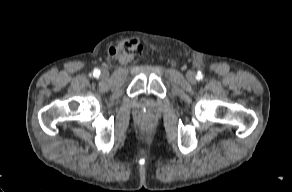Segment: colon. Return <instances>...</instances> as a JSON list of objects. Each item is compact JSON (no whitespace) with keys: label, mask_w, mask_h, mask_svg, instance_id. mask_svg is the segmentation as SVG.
<instances>
[{"label":"colon","mask_w":292,"mask_h":192,"mask_svg":"<svg viewBox=\"0 0 292 192\" xmlns=\"http://www.w3.org/2000/svg\"><path fill=\"white\" fill-rule=\"evenodd\" d=\"M123 50L129 53H139L141 51V48L136 42L128 41L124 44Z\"/></svg>","instance_id":"colon-1"}]
</instances>
